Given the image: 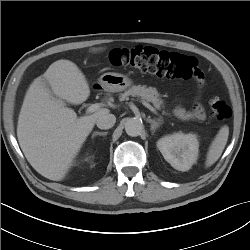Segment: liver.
<instances>
[{
  "mask_svg": "<svg viewBox=\"0 0 250 250\" xmlns=\"http://www.w3.org/2000/svg\"><path fill=\"white\" fill-rule=\"evenodd\" d=\"M89 95L85 75L66 59L52 63L27 90L18 118L17 137L26 159L42 176L63 180L98 117L109 113L107 108H101L78 118L73 109L65 106V101L79 105Z\"/></svg>",
  "mask_w": 250,
  "mask_h": 250,
  "instance_id": "6515ba94",
  "label": "liver"
}]
</instances>
